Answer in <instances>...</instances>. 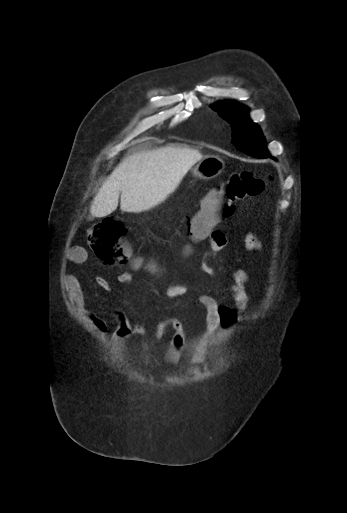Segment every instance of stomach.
Listing matches in <instances>:
<instances>
[{
	"label": "stomach",
	"mask_w": 347,
	"mask_h": 513,
	"mask_svg": "<svg viewBox=\"0 0 347 513\" xmlns=\"http://www.w3.org/2000/svg\"><path fill=\"white\" fill-rule=\"evenodd\" d=\"M224 162L218 156H206L193 169L195 177L209 180L217 177L224 169Z\"/></svg>",
	"instance_id": "obj_1"
}]
</instances>
